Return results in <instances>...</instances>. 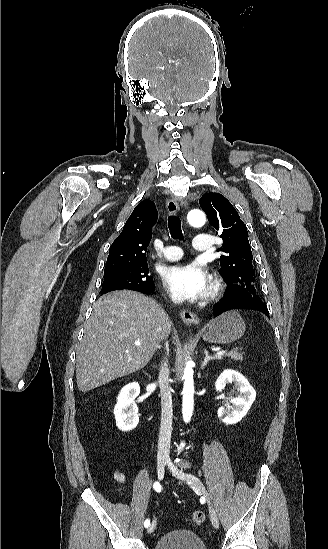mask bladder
<instances>
[{
    "label": "bladder",
    "instance_id": "obj_1",
    "mask_svg": "<svg viewBox=\"0 0 328 549\" xmlns=\"http://www.w3.org/2000/svg\"><path fill=\"white\" fill-rule=\"evenodd\" d=\"M154 549H206L197 534L188 530H175L166 533Z\"/></svg>",
    "mask_w": 328,
    "mask_h": 549
}]
</instances>
